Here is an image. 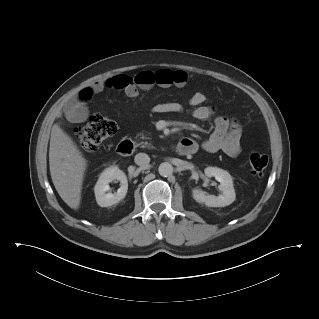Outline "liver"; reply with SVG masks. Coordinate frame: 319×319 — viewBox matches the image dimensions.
Instances as JSON below:
<instances>
[{"instance_id":"1","label":"liver","mask_w":319,"mask_h":319,"mask_svg":"<svg viewBox=\"0 0 319 319\" xmlns=\"http://www.w3.org/2000/svg\"><path fill=\"white\" fill-rule=\"evenodd\" d=\"M49 165L59 196L70 208L78 209L87 161L72 138L58 124L51 131Z\"/></svg>"}]
</instances>
